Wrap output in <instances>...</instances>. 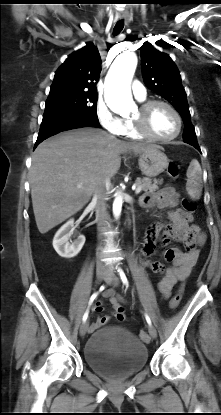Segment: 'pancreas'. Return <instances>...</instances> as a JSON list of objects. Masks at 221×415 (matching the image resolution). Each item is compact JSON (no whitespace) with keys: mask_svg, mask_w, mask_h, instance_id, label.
<instances>
[{"mask_svg":"<svg viewBox=\"0 0 221 415\" xmlns=\"http://www.w3.org/2000/svg\"><path fill=\"white\" fill-rule=\"evenodd\" d=\"M153 182V183H152ZM163 180H153L150 178H137V180L135 181V185L137 187H141L142 191H155L157 190L159 187L158 185L162 184Z\"/></svg>","mask_w":221,"mask_h":415,"instance_id":"obj_1","label":"pancreas"}]
</instances>
